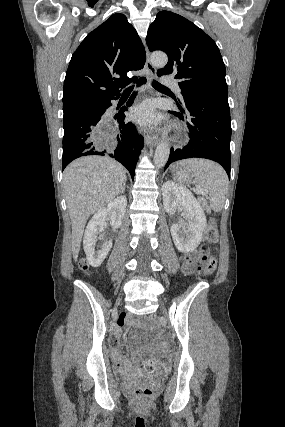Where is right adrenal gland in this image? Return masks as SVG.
I'll use <instances>...</instances> for the list:
<instances>
[{
    "label": "right adrenal gland",
    "instance_id": "2a0ac1e0",
    "mask_svg": "<svg viewBox=\"0 0 285 427\" xmlns=\"http://www.w3.org/2000/svg\"><path fill=\"white\" fill-rule=\"evenodd\" d=\"M128 187L126 184H124L123 188L120 190V193H123L125 191V188Z\"/></svg>",
    "mask_w": 285,
    "mask_h": 427
}]
</instances>
